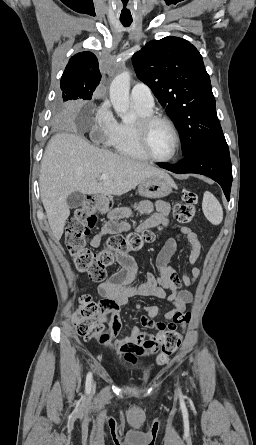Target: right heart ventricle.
<instances>
[{"instance_id": "e07e8e85", "label": "right heart ventricle", "mask_w": 256, "mask_h": 445, "mask_svg": "<svg viewBox=\"0 0 256 445\" xmlns=\"http://www.w3.org/2000/svg\"><path fill=\"white\" fill-rule=\"evenodd\" d=\"M139 117L151 114V110H144L134 106ZM117 153L133 159L145 160L147 157L141 151L135 133L134 124L118 123L114 136L108 143Z\"/></svg>"}]
</instances>
